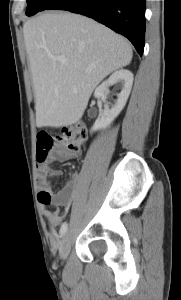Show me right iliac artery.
<instances>
[{"label":"right iliac artery","instance_id":"1","mask_svg":"<svg viewBox=\"0 0 181 300\" xmlns=\"http://www.w3.org/2000/svg\"><path fill=\"white\" fill-rule=\"evenodd\" d=\"M66 232H67V223H63L60 228V235L64 236Z\"/></svg>","mask_w":181,"mask_h":300}]
</instances>
